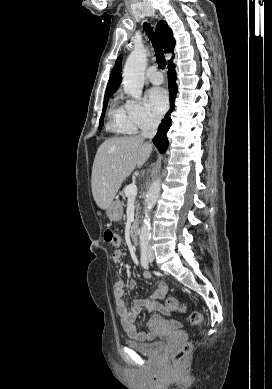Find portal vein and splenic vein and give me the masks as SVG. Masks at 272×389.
Here are the masks:
<instances>
[{"mask_svg":"<svg viewBox=\"0 0 272 389\" xmlns=\"http://www.w3.org/2000/svg\"><path fill=\"white\" fill-rule=\"evenodd\" d=\"M125 195L129 198H134L137 195V186L132 183L125 188Z\"/></svg>","mask_w":272,"mask_h":389,"instance_id":"1","label":"portal vein and splenic vein"}]
</instances>
